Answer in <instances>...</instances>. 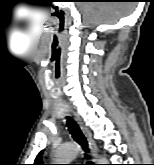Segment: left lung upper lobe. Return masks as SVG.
I'll use <instances>...</instances> for the list:
<instances>
[{"mask_svg": "<svg viewBox=\"0 0 154 165\" xmlns=\"http://www.w3.org/2000/svg\"><path fill=\"white\" fill-rule=\"evenodd\" d=\"M42 154H43V151H41V152L37 155V157H36V159H35L33 165H44L43 162H42Z\"/></svg>", "mask_w": 154, "mask_h": 165, "instance_id": "left-lung-upper-lobe-1", "label": "left lung upper lobe"}]
</instances>
